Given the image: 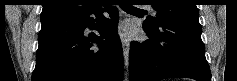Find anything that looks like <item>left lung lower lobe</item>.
I'll return each mask as SVG.
<instances>
[{
	"label": "left lung lower lobe",
	"instance_id": "obj_1",
	"mask_svg": "<svg viewBox=\"0 0 237 81\" xmlns=\"http://www.w3.org/2000/svg\"><path fill=\"white\" fill-rule=\"evenodd\" d=\"M143 29L149 39L131 43L130 81L173 77L211 81L199 22L168 20L154 27L144 22Z\"/></svg>",
	"mask_w": 237,
	"mask_h": 81
}]
</instances>
